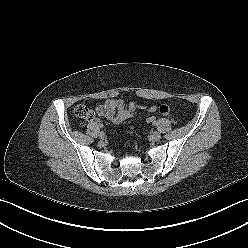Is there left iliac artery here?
<instances>
[{
    "instance_id": "1",
    "label": "left iliac artery",
    "mask_w": 248,
    "mask_h": 248,
    "mask_svg": "<svg viewBox=\"0 0 248 248\" xmlns=\"http://www.w3.org/2000/svg\"><path fill=\"white\" fill-rule=\"evenodd\" d=\"M156 124H157V122H156V121H154V122H153V125H156Z\"/></svg>"
}]
</instances>
